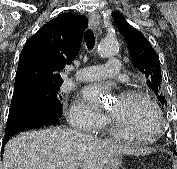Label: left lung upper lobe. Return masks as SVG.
I'll return each mask as SVG.
<instances>
[{
  "instance_id": "obj_1",
  "label": "left lung upper lobe",
  "mask_w": 177,
  "mask_h": 169,
  "mask_svg": "<svg viewBox=\"0 0 177 169\" xmlns=\"http://www.w3.org/2000/svg\"><path fill=\"white\" fill-rule=\"evenodd\" d=\"M112 16L127 43L135 67L142 74L148 87L157 95L159 101L167 106L157 53L143 34L125 21L122 14L114 12Z\"/></svg>"
}]
</instances>
